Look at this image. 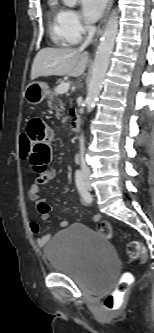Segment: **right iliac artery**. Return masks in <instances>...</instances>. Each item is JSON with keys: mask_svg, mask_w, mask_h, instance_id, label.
<instances>
[{"mask_svg": "<svg viewBox=\"0 0 154 333\" xmlns=\"http://www.w3.org/2000/svg\"><path fill=\"white\" fill-rule=\"evenodd\" d=\"M75 182L76 187L81 195V197L86 201L87 203L92 202V195L87 191L84 181H83V175L80 170H77L75 172Z\"/></svg>", "mask_w": 154, "mask_h": 333, "instance_id": "obj_1", "label": "right iliac artery"}]
</instances>
